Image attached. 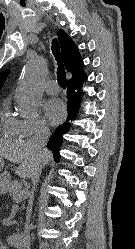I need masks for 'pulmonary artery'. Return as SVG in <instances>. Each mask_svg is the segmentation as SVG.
<instances>
[{
    "mask_svg": "<svg viewBox=\"0 0 135 249\" xmlns=\"http://www.w3.org/2000/svg\"><path fill=\"white\" fill-rule=\"evenodd\" d=\"M44 89L46 91V93L50 94V95H55L59 92L60 88L57 84L56 81L54 80H51V81H48L45 86H44Z\"/></svg>",
    "mask_w": 135,
    "mask_h": 249,
    "instance_id": "1",
    "label": "pulmonary artery"
}]
</instances>
